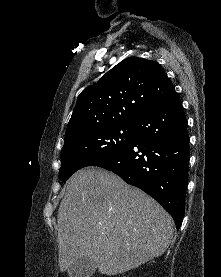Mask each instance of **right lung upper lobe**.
Masks as SVG:
<instances>
[{"label": "right lung upper lobe", "instance_id": "obj_1", "mask_svg": "<svg viewBox=\"0 0 221 277\" xmlns=\"http://www.w3.org/2000/svg\"><path fill=\"white\" fill-rule=\"evenodd\" d=\"M174 91L157 62L126 58L78 96L65 140L96 126L133 124Z\"/></svg>", "mask_w": 221, "mask_h": 277}]
</instances>
